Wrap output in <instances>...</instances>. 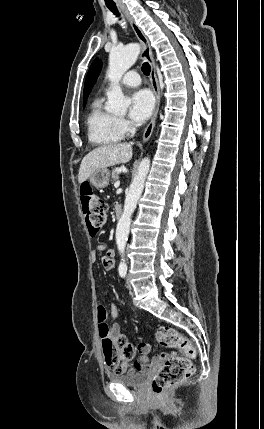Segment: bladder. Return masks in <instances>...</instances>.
<instances>
[{"mask_svg": "<svg viewBox=\"0 0 264 429\" xmlns=\"http://www.w3.org/2000/svg\"><path fill=\"white\" fill-rule=\"evenodd\" d=\"M150 371H139L130 374H108L110 381L122 384L131 388H140L142 387L149 379Z\"/></svg>", "mask_w": 264, "mask_h": 429, "instance_id": "obj_1", "label": "bladder"}]
</instances>
